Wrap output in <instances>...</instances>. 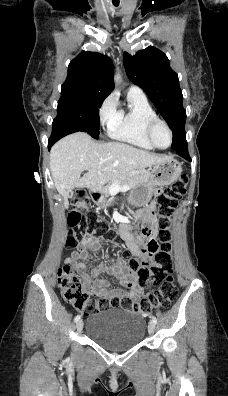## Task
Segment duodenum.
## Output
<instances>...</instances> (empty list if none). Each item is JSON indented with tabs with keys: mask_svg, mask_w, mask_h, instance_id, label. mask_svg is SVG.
<instances>
[{
	"mask_svg": "<svg viewBox=\"0 0 228 396\" xmlns=\"http://www.w3.org/2000/svg\"><path fill=\"white\" fill-rule=\"evenodd\" d=\"M94 196L100 197L101 195H100V193H95Z\"/></svg>",
	"mask_w": 228,
	"mask_h": 396,
	"instance_id": "duodenum-1",
	"label": "duodenum"
}]
</instances>
